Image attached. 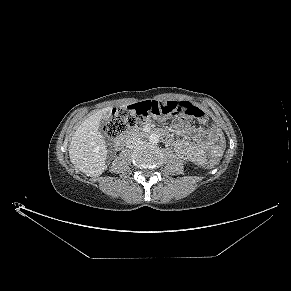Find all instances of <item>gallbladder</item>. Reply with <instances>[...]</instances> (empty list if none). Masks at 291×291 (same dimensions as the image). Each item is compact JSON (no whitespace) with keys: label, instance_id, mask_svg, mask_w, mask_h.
I'll use <instances>...</instances> for the list:
<instances>
[{"label":"gallbladder","instance_id":"gallbladder-1","mask_svg":"<svg viewBox=\"0 0 291 291\" xmlns=\"http://www.w3.org/2000/svg\"><path fill=\"white\" fill-rule=\"evenodd\" d=\"M111 116H112V114H111V112H107L104 116H103V120L104 121H107V120H109L110 118H111Z\"/></svg>","mask_w":291,"mask_h":291}]
</instances>
